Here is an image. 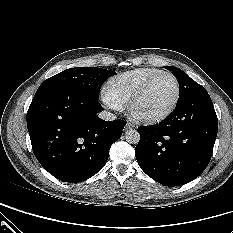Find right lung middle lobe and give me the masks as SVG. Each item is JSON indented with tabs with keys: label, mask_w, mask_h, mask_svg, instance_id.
<instances>
[{
	"label": "right lung middle lobe",
	"mask_w": 233,
	"mask_h": 233,
	"mask_svg": "<svg viewBox=\"0 0 233 233\" xmlns=\"http://www.w3.org/2000/svg\"><path fill=\"white\" fill-rule=\"evenodd\" d=\"M115 72L102 68L76 67L67 69L45 80L36 91L34 98L42 97L50 90L72 88L98 99L102 84Z\"/></svg>",
	"instance_id": "obj_1"
}]
</instances>
